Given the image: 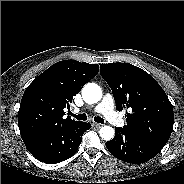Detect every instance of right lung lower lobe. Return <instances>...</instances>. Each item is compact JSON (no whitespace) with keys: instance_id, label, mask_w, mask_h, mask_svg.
I'll return each instance as SVG.
<instances>
[{"instance_id":"1","label":"right lung lower lobe","mask_w":184,"mask_h":184,"mask_svg":"<svg viewBox=\"0 0 184 184\" xmlns=\"http://www.w3.org/2000/svg\"><path fill=\"white\" fill-rule=\"evenodd\" d=\"M91 124L75 122L59 131H52L34 139L24 141L29 152L39 161L59 163L73 156L82 140V135Z\"/></svg>"}]
</instances>
